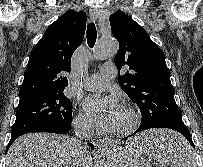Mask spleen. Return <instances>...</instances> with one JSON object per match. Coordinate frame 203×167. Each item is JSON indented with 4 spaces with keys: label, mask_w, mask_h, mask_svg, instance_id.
I'll list each match as a JSON object with an SVG mask.
<instances>
[{
    "label": "spleen",
    "mask_w": 203,
    "mask_h": 167,
    "mask_svg": "<svg viewBox=\"0 0 203 167\" xmlns=\"http://www.w3.org/2000/svg\"><path fill=\"white\" fill-rule=\"evenodd\" d=\"M140 152L171 167H196L190 147L182 136L167 131H156L146 139Z\"/></svg>",
    "instance_id": "spleen-1"
}]
</instances>
